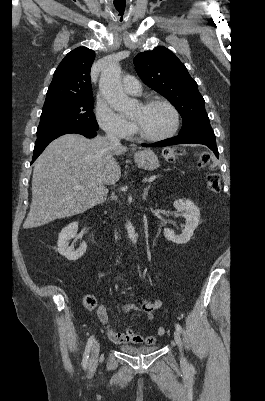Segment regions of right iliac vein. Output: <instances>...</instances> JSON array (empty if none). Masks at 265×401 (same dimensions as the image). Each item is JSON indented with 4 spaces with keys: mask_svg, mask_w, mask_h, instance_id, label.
I'll return each instance as SVG.
<instances>
[{
    "mask_svg": "<svg viewBox=\"0 0 265 401\" xmlns=\"http://www.w3.org/2000/svg\"><path fill=\"white\" fill-rule=\"evenodd\" d=\"M100 351V342L96 341L92 348L89 361V370L94 371L98 364V353Z\"/></svg>",
    "mask_w": 265,
    "mask_h": 401,
    "instance_id": "right-iliac-vein-1",
    "label": "right iliac vein"
}]
</instances>
